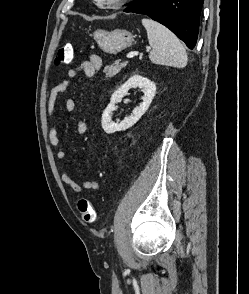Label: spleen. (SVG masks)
I'll return each mask as SVG.
<instances>
[{"instance_id":"3e777b00","label":"spleen","mask_w":249,"mask_h":294,"mask_svg":"<svg viewBox=\"0 0 249 294\" xmlns=\"http://www.w3.org/2000/svg\"><path fill=\"white\" fill-rule=\"evenodd\" d=\"M152 47L149 59L152 63L183 68L187 54L180 40L165 26L148 18L142 19Z\"/></svg>"}]
</instances>
